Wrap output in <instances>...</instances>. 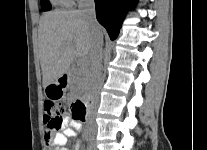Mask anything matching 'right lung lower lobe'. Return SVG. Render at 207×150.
<instances>
[{
    "instance_id": "1",
    "label": "right lung lower lobe",
    "mask_w": 207,
    "mask_h": 150,
    "mask_svg": "<svg viewBox=\"0 0 207 150\" xmlns=\"http://www.w3.org/2000/svg\"><path fill=\"white\" fill-rule=\"evenodd\" d=\"M136 2L137 0H95L97 20L106 28L111 39L117 37L129 5L133 6Z\"/></svg>"
}]
</instances>
